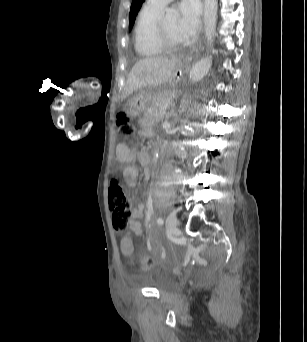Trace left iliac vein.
<instances>
[{
  "label": "left iliac vein",
  "instance_id": "obj_1",
  "mask_svg": "<svg viewBox=\"0 0 307 342\" xmlns=\"http://www.w3.org/2000/svg\"><path fill=\"white\" fill-rule=\"evenodd\" d=\"M177 217L174 212H171L166 219V227L170 234H175L178 230L177 228Z\"/></svg>",
  "mask_w": 307,
  "mask_h": 342
}]
</instances>
